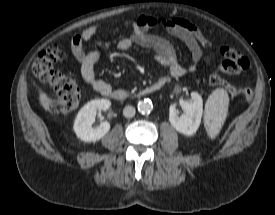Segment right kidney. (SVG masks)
Returning a JSON list of instances; mask_svg holds the SVG:
<instances>
[{
	"mask_svg": "<svg viewBox=\"0 0 275 215\" xmlns=\"http://www.w3.org/2000/svg\"><path fill=\"white\" fill-rule=\"evenodd\" d=\"M111 103L107 99H96L85 104L78 112L73 129L78 138L84 142H95L104 137L110 130L109 122H102L93 127L97 112L106 111Z\"/></svg>",
	"mask_w": 275,
	"mask_h": 215,
	"instance_id": "right-kidney-1",
	"label": "right kidney"
}]
</instances>
